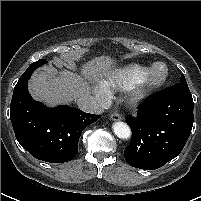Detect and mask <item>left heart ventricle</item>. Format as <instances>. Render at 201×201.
<instances>
[{
    "label": "left heart ventricle",
    "instance_id": "1",
    "mask_svg": "<svg viewBox=\"0 0 201 201\" xmlns=\"http://www.w3.org/2000/svg\"><path fill=\"white\" fill-rule=\"evenodd\" d=\"M164 74V67L162 65L156 66L151 74H150V79L156 80L160 78Z\"/></svg>",
    "mask_w": 201,
    "mask_h": 201
}]
</instances>
